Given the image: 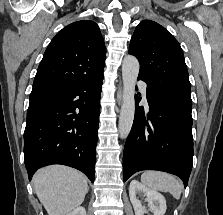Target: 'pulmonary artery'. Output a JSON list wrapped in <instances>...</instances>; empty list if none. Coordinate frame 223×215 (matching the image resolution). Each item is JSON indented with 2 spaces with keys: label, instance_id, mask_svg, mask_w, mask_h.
Here are the masks:
<instances>
[{
  "label": "pulmonary artery",
  "instance_id": "e3ab8cb5",
  "mask_svg": "<svg viewBox=\"0 0 223 215\" xmlns=\"http://www.w3.org/2000/svg\"><path fill=\"white\" fill-rule=\"evenodd\" d=\"M138 86H139V90H142V92H143L141 94V97L142 98H149L150 94L146 93V90H148L149 83L148 82H139Z\"/></svg>",
  "mask_w": 223,
  "mask_h": 215
}]
</instances>
